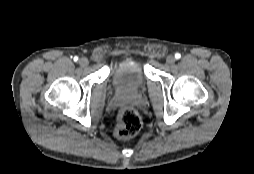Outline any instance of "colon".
I'll use <instances>...</instances> for the list:
<instances>
[{
    "label": "colon",
    "instance_id": "obj_1",
    "mask_svg": "<svg viewBox=\"0 0 254 174\" xmlns=\"http://www.w3.org/2000/svg\"><path fill=\"white\" fill-rule=\"evenodd\" d=\"M142 127V120L138 113L131 108H124L118 116V124L115 129V136L119 139H126L136 135Z\"/></svg>",
    "mask_w": 254,
    "mask_h": 174
}]
</instances>
